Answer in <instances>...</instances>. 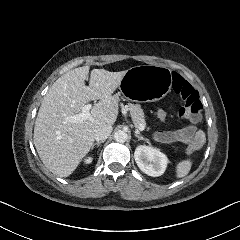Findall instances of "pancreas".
I'll use <instances>...</instances> for the list:
<instances>
[{
  "label": "pancreas",
  "mask_w": 240,
  "mask_h": 240,
  "mask_svg": "<svg viewBox=\"0 0 240 240\" xmlns=\"http://www.w3.org/2000/svg\"><path fill=\"white\" fill-rule=\"evenodd\" d=\"M127 107L136 128H138L141 124H145L144 112L139 104L128 103Z\"/></svg>",
  "instance_id": "1"
}]
</instances>
